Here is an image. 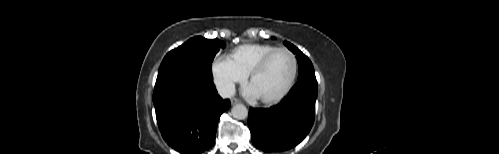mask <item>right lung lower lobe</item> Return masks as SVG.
Instances as JSON below:
<instances>
[{
    "label": "right lung lower lobe",
    "instance_id": "1",
    "mask_svg": "<svg viewBox=\"0 0 499 154\" xmlns=\"http://www.w3.org/2000/svg\"><path fill=\"white\" fill-rule=\"evenodd\" d=\"M153 103L162 137L183 154H199L215 143L221 114L230 107L222 100L212 74L176 73L156 81Z\"/></svg>",
    "mask_w": 499,
    "mask_h": 154
}]
</instances>
